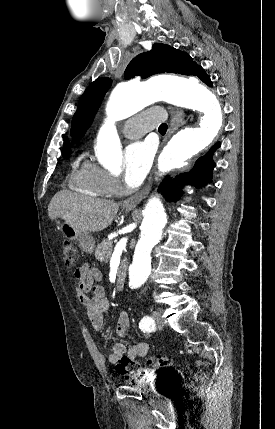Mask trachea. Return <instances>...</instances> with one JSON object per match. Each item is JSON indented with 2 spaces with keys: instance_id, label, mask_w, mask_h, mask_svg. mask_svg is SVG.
<instances>
[{
  "instance_id": "3493384b",
  "label": "trachea",
  "mask_w": 275,
  "mask_h": 429,
  "mask_svg": "<svg viewBox=\"0 0 275 429\" xmlns=\"http://www.w3.org/2000/svg\"><path fill=\"white\" fill-rule=\"evenodd\" d=\"M158 130H159L160 133H166V131H167V124L166 123L161 124L159 126Z\"/></svg>"
}]
</instances>
